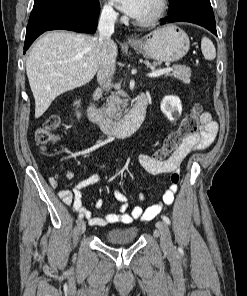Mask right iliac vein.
I'll return each mask as SVG.
<instances>
[{"instance_id":"63e3f726","label":"right iliac vein","mask_w":247,"mask_h":296,"mask_svg":"<svg viewBox=\"0 0 247 296\" xmlns=\"http://www.w3.org/2000/svg\"><path fill=\"white\" fill-rule=\"evenodd\" d=\"M78 226V232L79 233H84L86 230V223L84 220H79L77 223Z\"/></svg>"}]
</instances>
